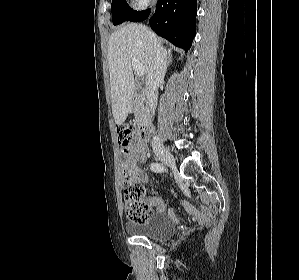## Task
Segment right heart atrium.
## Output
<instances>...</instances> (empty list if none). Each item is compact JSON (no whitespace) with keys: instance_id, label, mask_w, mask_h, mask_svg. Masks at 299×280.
<instances>
[{"instance_id":"obj_1","label":"right heart atrium","mask_w":299,"mask_h":280,"mask_svg":"<svg viewBox=\"0 0 299 280\" xmlns=\"http://www.w3.org/2000/svg\"><path fill=\"white\" fill-rule=\"evenodd\" d=\"M153 0H131L132 6L136 9L146 8Z\"/></svg>"}]
</instances>
